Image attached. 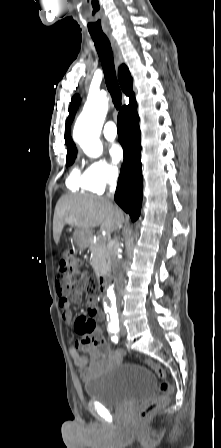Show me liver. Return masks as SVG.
<instances>
[{
  "label": "liver",
  "mask_w": 221,
  "mask_h": 448,
  "mask_svg": "<svg viewBox=\"0 0 221 448\" xmlns=\"http://www.w3.org/2000/svg\"><path fill=\"white\" fill-rule=\"evenodd\" d=\"M124 214L116 205L104 197L86 195H64L55 208L53 219V237L56 244L60 241L66 224L79 229H92L100 226L107 234L121 227Z\"/></svg>",
  "instance_id": "liver-1"
}]
</instances>
